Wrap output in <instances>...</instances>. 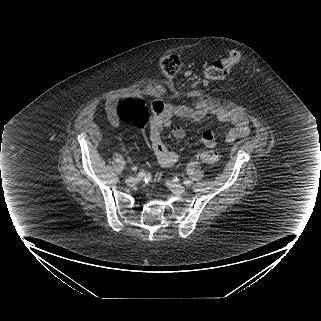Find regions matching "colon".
Listing matches in <instances>:
<instances>
[{"label": "colon", "mask_w": 321, "mask_h": 321, "mask_svg": "<svg viewBox=\"0 0 321 321\" xmlns=\"http://www.w3.org/2000/svg\"><path fill=\"white\" fill-rule=\"evenodd\" d=\"M242 55L238 50H232L225 58L214 62L207 70L202 72L209 79H222L228 76L233 68L241 61ZM181 67L180 57L176 54H167L159 61L161 73L170 78L175 76ZM117 117L120 123L144 129L149 120V112L142 101L129 99L123 101L117 108ZM198 158L207 164H216L220 155L214 150L202 151Z\"/></svg>", "instance_id": "1"}]
</instances>
